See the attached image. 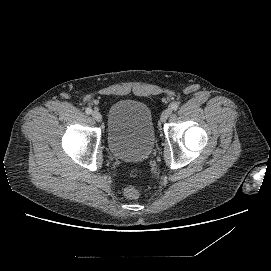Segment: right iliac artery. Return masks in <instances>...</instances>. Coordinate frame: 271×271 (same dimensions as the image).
<instances>
[{
  "label": "right iliac artery",
  "instance_id": "1",
  "mask_svg": "<svg viewBox=\"0 0 271 271\" xmlns=\"http://www.w3.org/2000/svg\"><path fill=\"white\" fill-rule=\"evenodd\" d=\"M85 112H86L87 114H91V113H92V109H91V108H86Z\"/></svg>",
  "mask_w": 271,
  "mask_h": 271
}]
</instances>
